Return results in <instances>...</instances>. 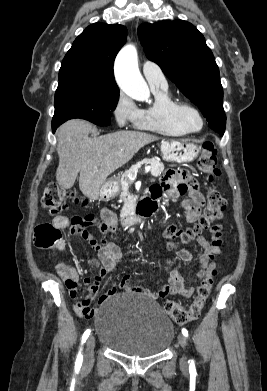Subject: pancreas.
<instances>
[{
    "mask_svg": "<svg viewBox=\"0 0 267 391\" xmlns=\"http://www.w3.org/2000/svg\"><path fill=\"white\" fill-rule=\"evenodd\" d=\"M143 164L150 165L151 175L154 177L160 176L161 173L164 171V165L155 159H144L142 161H139L137 164L133 165L129 170L125 171L121 176L117 178L123 193L127 192L129 186L133 183V181L129 179L128 175H134L136 170L140 168Z\"/></svg>",
    "mask_w": 267,
    "mask_h": 391,
    "instance_id": "cf45deb5",
    "label": "pancreas"
}]
</instances>
